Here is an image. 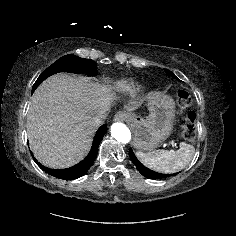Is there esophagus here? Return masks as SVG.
Returning a JSON list of instances; mask_svg holds the SVG:
<instances>
[{"label":"esophagus","instance_id":"1","mask_svg":"<svg viewBox=\"0 0 236 236\" xmlns=\"http://www.w3.org/2000/svg\"><path fill=\"white\" fill-rule=\"evenodd\" d=\"M126 118H128V114L124 112H117L114 115V121H124Z\"/></svg>","mask_w":236,"mask_h":236}]
</instances>
